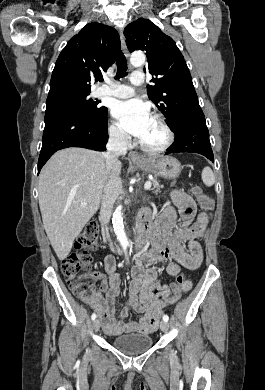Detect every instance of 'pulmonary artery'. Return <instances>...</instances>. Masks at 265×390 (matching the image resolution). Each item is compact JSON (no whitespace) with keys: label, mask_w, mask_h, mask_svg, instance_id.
I'll return each instance as SVG.
<instances>
[{"label":"pulmonary artery","mask_w":265,"mask_h":390,"mask_svg":"<svg viewBox=\"0 0 265 390\" xmlns=\"http://www.w3.org/2000/svg\"><path fill=\"white\" fill-rule=\"evenodd\" d=\"M130 82L133 86H139L144 82V76L141 72H134L131 75ZM134 93V88L124 84H109L100 87L97 90L99 97L128 98Z\"/></svg>","instance_id":"1"}]
</instances>
